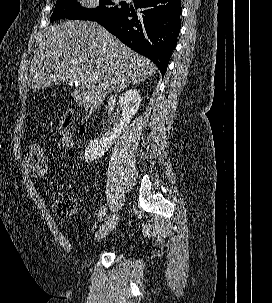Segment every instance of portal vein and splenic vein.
<instances>
[{
    "label": "portal vein and splenic vein",
    "mask_w": 272,
    "mask_h": 303,
    "mask_svg": "<svg viewBox=\"0 0 272 303\" xmlns=\"http://www.w3.org/2000/svg\"><path fill=\"white\" fill-rule=\"evenodd\" d=\"M98 79V77H93V78H87V77H85V76H82L81 77V82H86V81H88V80H93V81H95V80H97Z\"/></svg>",
    "instance_id": "obj_1"
}]
</instances>
